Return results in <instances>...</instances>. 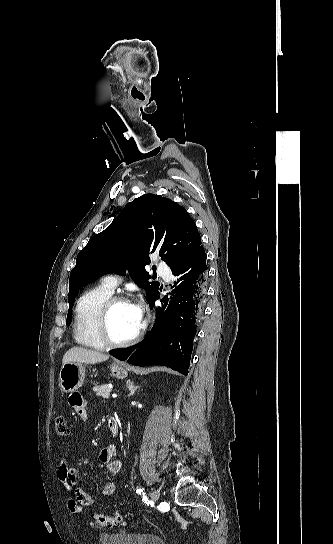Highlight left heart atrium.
I'll return each mask as SVG.
<instances>
[{"label": "left heart atrium", "mask_w": 333, "mask_h": 544, "mask_svg": "<svg viewBox=\"0 0 333 544\" xmlns=\"http://www.w3.org/2000/svg\"><path fill=\"white\" fill-rule=\"evenodd\" d=\"M132 308L137 321L140 323L143 315V308L141 303L132 304Z\"/></svg>", "instance_id": "left-heart-atrium-1"}]
</instances>
